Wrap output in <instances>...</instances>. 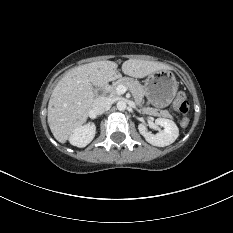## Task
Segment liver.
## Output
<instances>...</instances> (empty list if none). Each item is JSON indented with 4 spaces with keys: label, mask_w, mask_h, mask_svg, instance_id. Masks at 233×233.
Instances as JSON below:
<instances>
[{
    "label": "liver",
    "mask_w": 233,
    "mask_h": 233,
    "mask_svg": "<svg viewBox=\"0 0 233 233\" xmlns=\"http://www.w3.org/2000/svg\"><path fill=\"white\" fill-rule=\"evenodd\" d=\"M113 61H97L69 71L54 88L48 103V124L57 141L65 143L75 129L82 126L92 108L93 85L105 86L121 77ZM161 62L129 59L122 64V72L135 78L170 70Z\"/></svg>",
    "instance_id": "6515ba94"
}]
</instances>
